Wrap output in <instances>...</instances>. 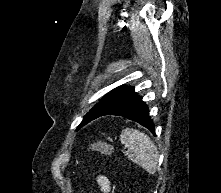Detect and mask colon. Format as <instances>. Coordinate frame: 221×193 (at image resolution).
I'll list each match as a JSON object with an SVG mask.
<instances>
[{
  "label": "colon",
  "instance_id": "colon-1",
  "mask_svg": "<svg viewBox=\"0 0 221 193\" xmlns=\"http://www.w3.org/2000/svg\"><path fill=\"white\" fill-rule=\"evenodd\" d=\"M91 150H97L107 154H111L113 151L112 147L105 143H94L88 148V151Z\"/></svg>",
  "mask_w": 221,
  "mask_h": 193
}]
</instances>
